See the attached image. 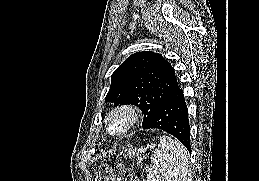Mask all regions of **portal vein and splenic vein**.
<instances>
[{"label": "portal vein and splenic vein", "mask_w": 259, "mask_h": 181, "mask_svg": "<svg viewBox=\"0 0 259 181\" xmlns=\"http://www.w3.org/2000/svg\"><path fill=\"white\" fill-rule=\"evenodd\" d=\"M143 170H144V171H148V170H149V168H148V167H146V168H144Z\"/></svg>", "instance_id": "obj_1"}]
</instances>
